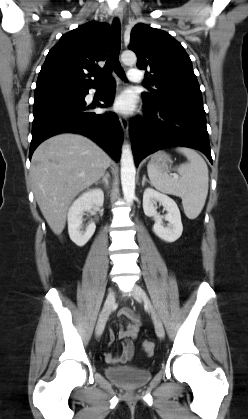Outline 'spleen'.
Returning a JSON list of instances; mask_svg holds the SVG:
<instances>
[{"mask_svg":"<svg viewBox=\"0 0 248 419\" xmlns=\"http://www.w3.org/2000/svg\"><path fill=\"white\" fill-rule=\"evenodd\" d=\"M188 159L176 168L180 178H172L168 172L151 161L147 166L151 184L159 191L181 197L184 212L189 219L201 213L208 194V167L204 159L193 149H176Z\"/></svg>","mask_w":248,"mask_h":419,"instance_id":"obj_1","label":"spleen"}]
</instances>
